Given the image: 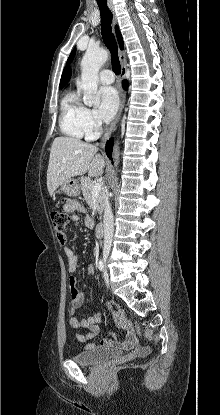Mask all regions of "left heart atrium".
<instances>
[{"mask_svg":"<svg viewBox=\"0 0 220 415\" xmlns=\"http://www.w3.org/2000/svg\"><path fill=\"white\" fill-rule=\"evenodd\" d=\"M99 100L96 116L100 121L109 122L118 109V93L113 87H102L99 90Z\"/></svg>","mask_w":220,"mask_h":415,"instance_id":"1","label":"left heart atrium"}]
</instances>
